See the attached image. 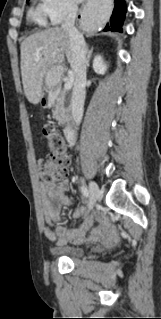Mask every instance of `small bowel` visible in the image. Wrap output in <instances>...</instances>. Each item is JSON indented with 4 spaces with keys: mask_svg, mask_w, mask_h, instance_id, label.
Masks as SVG:
<instances>
[{
    "mask_svg": "<svg viewBox=\"0 0 161 319\" xmlns=\"http://www.w3.org/2000/svg\"><path fill=\"white\" fill-rule=\"evenodd\" d=\"M69 191V183L64 180L58 183H43L42 184V205L45 219L48 223L59 222V210L60 205L70 206L71 200L67 196ZM86 208L80 207L74 210L72 214L74 216L85 215ZM97 218L100 222L99 226L92 228L94 219ZM90 230V238L97 239L100 237L112 239L115 237L116 228L108 221L103 212H96L95 214L88 215L83 222L82 226L75 230H68L64 226L60 225L57 228L56 233H53L49 228H44V233L50 240H56L57 236L61 242L70 243H83L85 241L86 232Z\"/></svg>",
    "mask_w": 161,
    "mask_h": 319,
    "instance_id": "1",
    "label": "small bowel"
}]
</instances>
